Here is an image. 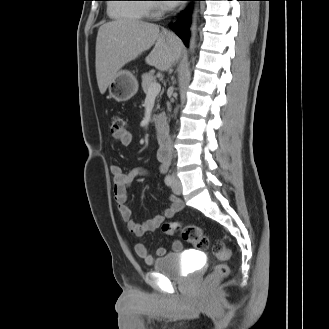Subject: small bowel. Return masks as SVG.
<instances>
[{
  "label": "small bowel",
  "instance_id": "obj_1",
  "mask_svg": "<svg viewBox=\"0 0 329 329\" xmlns=\"http://www.w3.org/2000/svg\"><path fill=\"white\" fill-rule=\"evenodd\" d=\"M121 145L129 146L132 144L133 137L129 131H124L121 135L114 136ZM168 164L165 160L159 162L158 172H166ZM111 173L113 176V192L114 199L119 209V213L122 219L127 222L128 229L137 237L143 236L146 232L153 231L157 229L165 219L173 217L177 212H179L182 207V201L175 196H170L168 198L170 205L162 212L155 215L152 219L139 223L132 219V212L127 206V192L133 181L139 177L146 176L145 168L141 166L133 167L127 171H124L119 165L111 166ZM183 245L180 241L176 240L172 243L173 251H181ZM136 254L143 259L147 264H151L154 261V256L149 253L147 247L143 243H136L134 246ZM167 253V250L163 247H159L156 250L157 256H162Z\"/></svg>",
  "mask_w": 329,
  "mask_h": 329
}]
</instances>
